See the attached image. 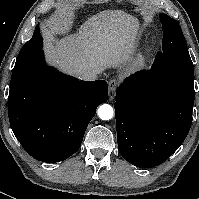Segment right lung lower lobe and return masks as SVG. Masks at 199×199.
Instances as JSON below:
<instances>
[{
  "mask_svg": "<svg viewBox=\"0 0 199 199\" xmlns=\"http://www.w3.org/2000/svg\"><path fill=\"white\" fill-rule=\"evenodd\" d=\"M107 100L106 81H79L61 74L46 65L41 50L13 69L8 116L26 152L54 163L80 148L98 105Z\"/></svg>",
  "mask_w": 199,
  "mask_h": 199,
  "instance_id": "1",
  "label": "right lung lower lobe"
}]
</instances>
